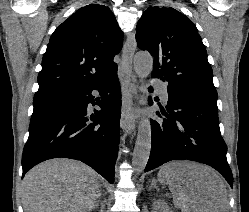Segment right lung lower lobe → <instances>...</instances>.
I'll return each instance as SVG.
<instances>
[{
	"label": "right lung lower lobe",
	"mask_w": 249,
	"mask_h": 212,
	"mask_svg": "<svg viewBox=\"0 0 249 212\" xmlns=\"http://www.w3.org/2000/svg\"><path fill=\"white\" fill-rule=\"evenodd\" d=\"M93 90L100 92V101L91 94ZM90 103L101 110H94L89 118ZM33 105L22 178L36 164L64 157L80 160L114 182L121 115L117 71L96 85L34 97Z\"/></svg>",
	"instance_id": "right-lung-lower-lobe-1"
}]
</instances>
